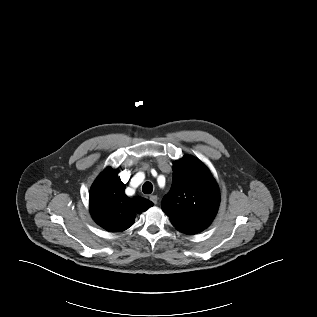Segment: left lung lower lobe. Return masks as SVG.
Listing matches in <instances>:
<instances>
[{"instance_id":"0a47b994","label":"left lung lower lobe","mask_w":317,"mask_h":317,"mask_svg":"<svg viewBox=\"0 0 317 317\" xmlns=\"http://www.w3.org/2000/svg\"><path fill=\"white\" fill-rule=\"evenodd\" d=\"M179 231H181V232H183L185 234H189V235H193V234H196V233L199 232L197 230L189 229V228H181V229H179Z\"/></svg>"}]
</instances>
